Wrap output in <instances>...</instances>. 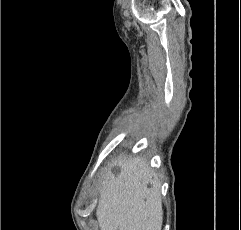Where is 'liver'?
Returning a JSON list of instances; mask_svg holds the SVG:
<instances>
[{"instance_id": "liver-1", "label": "liver", "mask_w": 241, "mask_h": 230, "mask_svg": "<svg viewBox=\"0 0 241 230\" xmlns=\"http://www.w3.org/2000/svg\"><path fill=\"white\" fill-rule=\"evenodd\" d=\"M119 164L120 174L107 177L100 187L96 210L100 229L161 230L162 200L154 172L135 157Z\"/></svg>"}]
</instances>
